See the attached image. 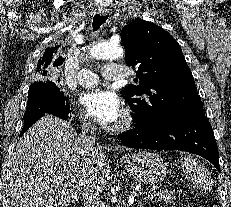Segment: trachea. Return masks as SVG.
Returning <instances> with one entry per match:
<instances>
[{
  "mask_svg": "<svg viewBox=\"0 0 231 207\" xmlns=\"http://www.w3.org/2000/svg\"><path fill=\"white\" fill-rule=\"evenodd\" d=\"M107 19L108 15H95L92 23L93 31H97Z\"/></svg>",
  "mask_w": 231,
  "mask_h": 207,
  "instance_id": "obj_1",
  "label": "trachea"
}]
</instances>
